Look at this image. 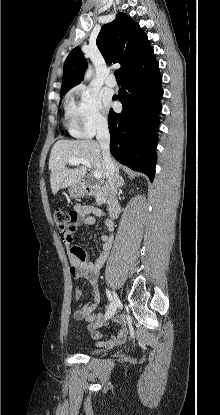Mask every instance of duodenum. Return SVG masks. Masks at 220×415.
Instances as JSON below:
<instances>
[{"instance_id": "410a0bca", "label": "duodenum", "mask_w": 220, "mask_h": 415, "mask_svg": "<svg viewBox=\"0 0 220 415\" xmlns=\"http://www.w3.org/2000/svg\"><path fill=\"white\" fill-rule=\"evenodd\" d=\"M80 187L86 194L99 193L107 198V204L109 209V216L111 219H115L119 216L121 205L116 198L115 193L107 184H94L87 180L80 182Z\"/></svg>"}]
</instances>
